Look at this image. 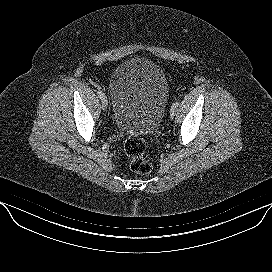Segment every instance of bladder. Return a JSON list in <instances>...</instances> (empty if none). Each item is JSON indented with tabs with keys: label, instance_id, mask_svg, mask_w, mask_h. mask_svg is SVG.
Here are the masks:
<instances>
[{
	"label": "bladder",
	"instance_id": "obj_1",
	"mask_svg": "<svg viewBox=\"0 0 272 272\" xmlns=\"http://www.w3.org/2000/svg\"><path fill=\"white\" fill-rule=\"evenodd\" d=\"M112 119L130 136L148 134L162 119L168 103L163 69L146 58H131L113 72L109 85Z\"/></svg>",
	"mask_w": 272,
	"mask_h": 272
}]
</instances>
